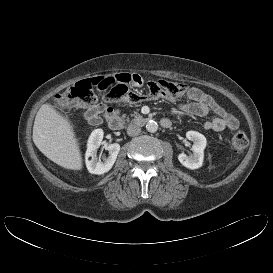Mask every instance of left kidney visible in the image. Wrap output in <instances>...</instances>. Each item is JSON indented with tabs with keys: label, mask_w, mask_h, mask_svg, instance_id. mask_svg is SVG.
<instances>
[{
	"label": "left kidney",
	"mask_w": 273,
	"mask_h": 273,
	"mask_svg": "<svg viewBox=\"0 0 273 273\" xmlns=\"http://www.w3.org/2000/svg\"><path fill=\"white\" fill-rule=\"evenodd\" d=\"M188 140L193 142V154L187 156L184 153L178 155L179 162L188 169H197L202 166L204 158V149L207 141L204 135L196 131H188L186 133Z\"/></svg>",
	"instance_id": "1"
}]
</instances>
